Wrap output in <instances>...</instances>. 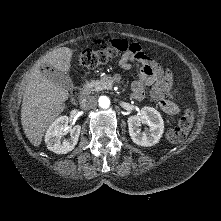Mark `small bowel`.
Instances as JSON below:
<instances>
[{"label": "small bowel", "instance_id": "1", "mask_svg": "<svg viewBox=\"0 0 221 221\" xmlns=\"http://www.w3.org/2000/svg\"><path fill=\"white\" fill-rule=\"evenodd\" d=\"M104 44H111L122 51L119 65L123 69H130L133 64L138 65L139 79L131 85L134 99L142 100L145 97L146 87H149L151 98L158 103L163 112L169 115H175L179 112V106L167 99L170 94H173V77L170 72H164L137 43L120 39L99 40L97 42L100 47Z\"/></svg>", "mask_w": 221, "mask_h": 221}]
</instances>
